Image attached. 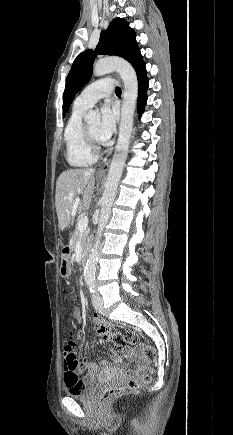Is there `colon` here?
Returning <instances> with one entry per match:
<instances>
[{"mask_svg":"<svg viewBox=\"0 0 233 435\" xmlns=\"http://www.w3.org/2000/svg\"><path fill=\"white\" fill-rule=\"evenodd\" d=\"M111 341L116 345H122L125 343L136 344L146 362L153 363L156 360L155 347L140 341L138 335L133 331H128L125 334H122L119 331H114L111 334ZM73 349L74 344L72 342L66 343L63 347L64 355L73 353ZM153 372L154 368L149 367L145 373L129 379L126 383L104 387L99 394L100 403L107 405L123 393L140 389L142 386L150 382ZM67 380L69 382L70 392H78V390L84 386L82 381L76 375H68Z\"/></svg>","mask_w":233,"mask_h":435,"instance_id":"colon-1","label":"colon"}]
</instances>
